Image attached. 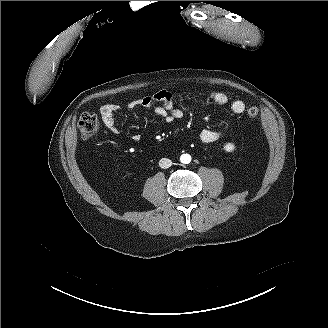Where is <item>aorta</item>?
<instances>
[{"label": "aorta", "instance_id": "762f6f07", "mask_svg": "<svg viewBox=\"0 0 328 328\" xmlns=\"http://www.w3.org/2000/svg\"><path fill=\"white\" fill-rule=\"evenodd\" d=\"M180 161L183 164H189L191 161V156L189 154H182L180 157Z\"/></svg>", "mask_w": 328, "mask_h": 328}]
</instances>
